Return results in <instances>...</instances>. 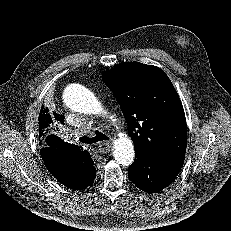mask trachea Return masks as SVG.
<instances>
[{
	"label": "trachea",
	"mask_w": 231,
	"mask_h": 231,
	"mask_svg": "<svg viewBox=\"0 0 231 231\" xmlns=\"http://www.w3.org/2000/svg\"><path fill=\"white\" fill-rule=\"evenodd\" d=\"M94 137H87V136H82L80 137L81 142L85 143V144H92V143H96L99 141H106L109 139V137L107 135H105L104 133L96 130L94 132Z\"/></svg>",
	"instance_id": "3493384b"
}]
</instances>
